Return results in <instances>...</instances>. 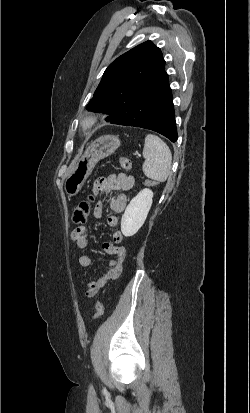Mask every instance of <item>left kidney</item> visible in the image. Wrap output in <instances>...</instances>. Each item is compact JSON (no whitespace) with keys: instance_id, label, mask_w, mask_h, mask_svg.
<instances>
[{"instance_id":"5707ae66","label":"left kidney","mask_w":250,"mask_h":413,"mask_svg":"<svg viewBox=\"0 0 250 413\" xmlns=\"http://www.w3.org/2000/svg\"><path fill=\"white\" fill-rule=\"evenodd\" d=\"M153 192L141 190L127 206L122 219L121 231L125 237L133 236L143 226L152 205Z\"/></svg>"}]
</instances>
